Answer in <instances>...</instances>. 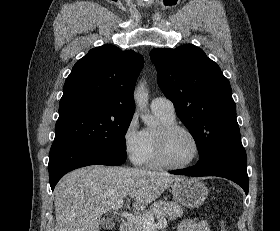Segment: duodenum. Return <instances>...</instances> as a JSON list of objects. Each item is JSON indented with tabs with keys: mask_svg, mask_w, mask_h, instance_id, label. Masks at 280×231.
Wrapping results in <instances>:
<instances>
[{
	"mask_svg": "<svg viewBox=\"0 0 280 231\" xmlns=\"http://www.w3.org/2000/svg\"><path fill=\"white\" fill-rule=\"evenodd\" d=\"M119 231H130V221L128 219H123L119 223Z\"/></svg>",
	"mask_w": 280,
	"mask_h": 231,
	"instance_id": "obj_1",
	"label": "duodenum"
}]
</instances>
